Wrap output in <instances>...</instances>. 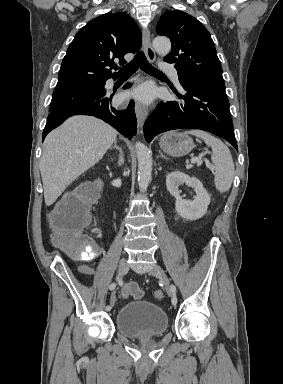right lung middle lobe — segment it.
<instances>
[{
  "label": "right lung middle lobe",
  "mask_w": 283,
  "mask_h": 384,
  "mask_svg": "<svg viewBox=\"0 0 283 384\" xmlns=\"http://www.w3.org/2000/svg\"><path fill=\"white\" fill-rule=\"evenodd\" d=\"M104 85L105 83H100L75 88L55 89L52 95L50 110L62 108L95 96L105 90Z\"/></svg>",
  "instance_id": "dd1d6c3e"
}]
</instances>
